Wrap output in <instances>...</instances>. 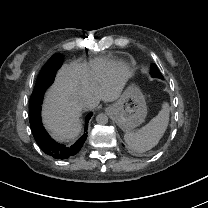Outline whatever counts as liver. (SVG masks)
<instances>
[{"label": "liver", "mask_w": 208, "mask_h": 208, "mask_svg": "<svg viewBox=\"0 0 208 208\" xmlns=\"http://www.w3.org/2000/svg\"><path fill=\"white\" fill-rule=\"evenodd\" d=\"M131 77L124 65L101 58L90 64L66 65L46 99L44 121L48 129L61 140L74 138L81 130L80 99L87 101L84 107L89 109L100 101L114 102Z\"/></svg>", "instance_id": "liver-1"}]
</instances>
